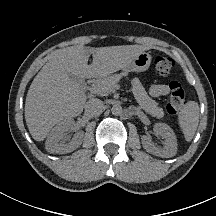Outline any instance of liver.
I'll list each match as a JSON object with an SVG mask.
<instances>
[{
  "mask_svg": "<svg viewBox=\"0 0 216 216\" xmlns=\"http://www.w3.org/2000/svg\"><path fill=\"white\" fill-rule=\"evenodd\" d=\"M147 49L142 45H78L57 50L36 75L26 96L25 120L32 137L43 141L55 124L82 113L86 95L69 73L80 81L102 78L123 69ZM91 54L93 62L88 65Z\"/></svg>",
  "mask_w": 216,
  "mask_h": 216,
  "instance_id": "liver-1",
  "label": "liver"
}]
</instances>
